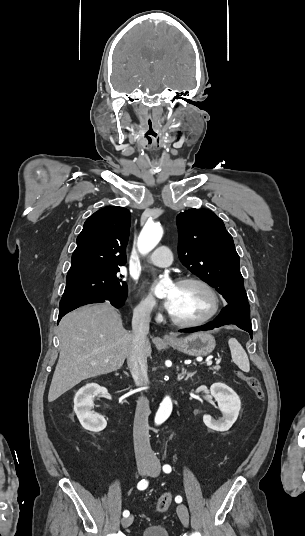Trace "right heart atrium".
Returning <instances> with one entry per match:
<instances>
[{
    "label": "right heart atrium",
    "mask_w": 305,
    "mask_h": 536,
    "mask_svg": "<svg viewBox=\"0 0 305 536\" xmlns=\"http://www.w3.org/2000/svg\"><path fill=\"white\" fill-rule=\"evenodd\" d=\"M156 309L155 302L148 297L139 298L135 307L134 313L141 318L150 317Z\"/></svg>",
    "instance_id": "obj_1"
}]
</instances>
